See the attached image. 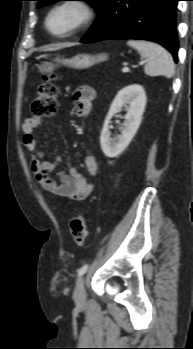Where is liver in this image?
I'll list each match as a JSON object with an SVG mask.
<instances>
[{
    "label": "liver",
    "mask_w": 193,
    "mask_h": 349,
    "mask_svg": "<svg viewBox=\"0 0 193 349\" xmlns=\"http://www.w3.org/2000/svg\"><path fill=\"white\" fill-rule=\"evenodd\" d=\"M73 44L71 43H68V44H59V45H56L55 47H50L48 49H46L47 51H55V50H59L63 47H69V46H72Z\"/></svg>",
    "instance_id": "obj_1"
}]
</instances>
